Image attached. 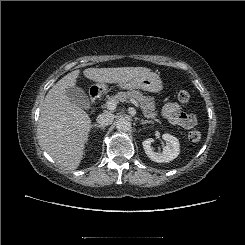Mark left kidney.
Listing matches in <instances>:
<instances>
[{
    "label": "left kidney",
    "instance_id": "left-kidney-1",
    "mask_svg": "<svg viewBox=\"0 0 245 245\" xmlns=\"http://www.w3.org/2000/svg\"><path fill=\"white\" fill-rule=\"evenodd\" d=\"M162 138L166 141V146L163 147L162 153L153 151L151 147V144L154 142L153 138H148L142 142L146 155L157 163L170 162L177 158L180 153V144L176 137L165 133L162 135Z\"/></svg>",
    "mask_w": 245,
    "mask_h": 245
}]
</instances>
